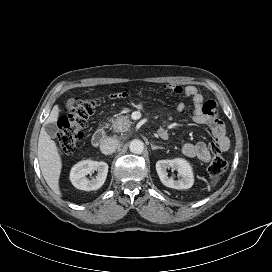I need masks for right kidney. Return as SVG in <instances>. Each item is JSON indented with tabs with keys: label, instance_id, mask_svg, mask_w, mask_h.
I'll list each match as a JSON object with an SVG mask.
<instances>
[{
	"label": "right kidney",
	"instance_id": "1",
	"mask_svg": "<svg viewBox=\"0 0 272 272\" xmlns=\"http://www.w3.org/2000/svg\"><path fill=\"white\" fill-rule=\"evenodd\" d=\"M97 171L96 178L89 180L87 175ZM108 164L102 161L83 160L75 164L70 172V180L80 190L92 191L99 189L105 182Z\"/></svg>",
	"mask_w": 272,
	"mask_h": 272
}]
</instances>
